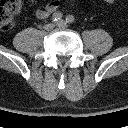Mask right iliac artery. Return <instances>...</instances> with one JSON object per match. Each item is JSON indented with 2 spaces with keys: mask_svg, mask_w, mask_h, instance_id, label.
Masks as SVG:
<instances>
[{
  "mask_svg": "<svg viewBox=\"0 0 128 128\" xmlns=\"http://www.w3.org/2000/svg\"><path fill=\"white\" fill-rule=\"evenodd\" d=\"M62 16L63 15L61 12H56L52 15L51 19L53 22H57V21L61 20Z\"/></svg>",
  "mask_w": 128,
  "mask_h": 128,
  "instance_id": "1",
  "label": "right iliac artery"
}]
</instances>
